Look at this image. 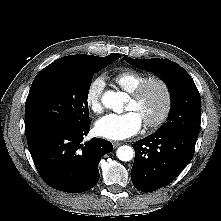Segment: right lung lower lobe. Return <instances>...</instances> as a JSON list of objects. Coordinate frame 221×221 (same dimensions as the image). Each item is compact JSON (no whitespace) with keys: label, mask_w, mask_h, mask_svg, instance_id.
<instances>
[{"label":"right lung lower lobe","mask_w":221,"mask_h":221,"mask_svg":"<svg viewBox=\"0 0 221 221\" xmlns=\"http://www.w3.org/2000/svg\"><path fill=\"white\" fill-rule=\"evenodd\" d=\"M89 130L90 122L79 127L47 128L27 138L35 166L50 187L79 193L97 184L99 160L113 146L99 138L81 144Z\"/></svg>","instance_id":"1"}]
</instances>
